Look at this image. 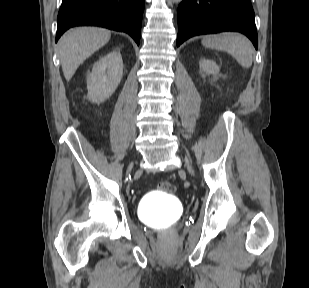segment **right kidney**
Segmentation results:
<instances>
[{
  "label": "right kidney",
  "mask_w": 309,
  "mask_h": 288,
  "mask_svg": "<svg viewBox=\"0 0 309 288\" xmlns=\"http://www.w3.org/2000/svg\"><path fill=\"white\" fill-rule=\"evenodd\" d=\"M123 76V61L118 50L100 57L87 77V97L94 103L108 99L117 89Z\"/></svg>",
  "instance_id": "obj_1"
}]
</instances>
